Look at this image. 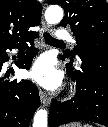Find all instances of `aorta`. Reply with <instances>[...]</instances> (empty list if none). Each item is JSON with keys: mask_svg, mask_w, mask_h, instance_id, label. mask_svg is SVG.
<instances>
[{"mask_svg": "<svg viewBox=\"0 0 108 127\" xmlns=\"http://www.w3.org/2000/svg\"><path fill=\"white\" fill-rule=\"evenodd\" d=\"M63 9L58 5H51L45 11L46 22L50 25L57 24L63 19ZM47 111L39 109L34 116L33 127H47Z\"/></svg>", "mask_w": 108, "mask_h": 127, "instance_id": "aorta-1", "label": "aorta"}]
</instances>
